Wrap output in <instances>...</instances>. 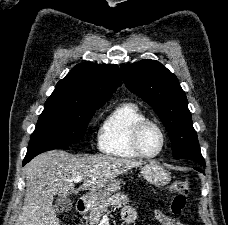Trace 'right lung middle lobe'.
Returning <instances> with one entry per match:
<instances>
[{
	"label": "right lung middle lobe",
	"instance_id": "right-lung-middle-lobe-1",
	"mask_svg": "<svg viewBox=\"0 0 228 225\" xmlns=\"http://www.w3.org/2000/svg\"><path fill=\"white\" fill-rule=\"evenodd\" d=\"M103 105L50 96L31 135L28 148L46 143L79 142L95 111Z\"/></svg>",
	"mask_w": 228,
	"mask_h": 225
}]
</instances>
